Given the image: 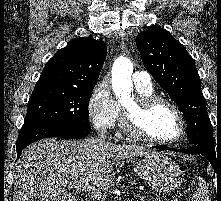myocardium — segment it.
Wrapping results in <instances>:
<instances>
[{"instance_id":"myocardium-1","label":"myocardium","mask_w":221,"mask_h":201,"mask_svg":"<svg viewBox=\"0 0 221 201\" xmlns=\"http://www.w3.org/2000/svg\"><path fill=\"white\" fill-rule=\"evenodd\" d=\"M160 104L169 107L179 121L180 133L176 138L169 140L157 139L146 134L140 127L139 117ZM121 125L123 130L129 136L159 145H171L177 143L184 137L186 133V122L179 108L170 100L156 94L148 96L139 95L134 99L132 107L124 106L122 109Z\"/></svg>"}]
</instances>
